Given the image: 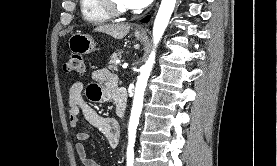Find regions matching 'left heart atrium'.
Here are the masks:
<instances>
[{
    "label": "left heart atrium",
    "mask_w": 277,
    "mask_h": 166,
    "mask_svg": "<svg viewBox=\"0 0 277 166\" xmlns=\"http://www.w3.org/2000/svg\"><path fill=\"white\" fill-rule=\"evenodd\" d=\"M152 0H124L125 5L128 8L141 9L148 6Z\"/></svg>",
    "instance_id": "left-heart-atrium-1"
}]
</instances>
